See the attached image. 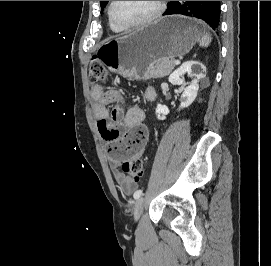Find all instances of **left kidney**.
<instances>
[{
	"label": "left kidney",
	"mask_w": 271,
	"mask_h": 266,
	"mask_svg": "<svg viewBox=\"0 0 271 266\" xmlns=\"http://www.w3.org/2000/svg\"><path fill=\"white\" fill-rule=\"evenodd\" d=\"M206 67L200 62L188 61L183 63L178 69H176L168 78L169 82L173 85H182L183 80L181 77L188 73L191 77H195L191 83L184 88L181 95V103L179 109L188 107L195 100L199 90V80L204 78ZM169 114V109L165 105L158 104L156 107V116L159 120L166 119Z\"/></svg>",
	"instance_id": "1"
}]
</instances>
